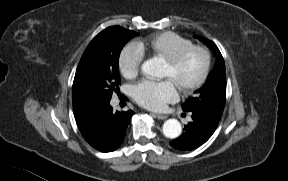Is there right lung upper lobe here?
<instances>
[{
	"label": "right lung upper lobe",
	"instance_id": "right-lung-upper-lobe-1",
	"mask_svg": "<svg viewBox=\"0 0 288 181\" xmlns=\"http://www.w3.org/2000/svg\"><path fill=\"white\" fill-rule=\"evenodd\" d=\"M106 105L82 94L73 88V112L83 137L87 142L96 139L100 117Z\"/></svg>",
	"mask_w": 288,
	"mask_h": 181
}]
</instances>
